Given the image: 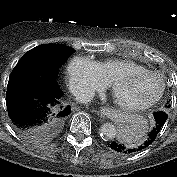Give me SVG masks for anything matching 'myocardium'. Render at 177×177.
I'll return each mask as SVG.
<instances>
[{"mask_svg":"<svg viewBox=\"0 0 177 177\" xmlns=\"http://www.w3.org/2000/svg\"><path fill=\"white\" fill-rule=\"evenodd\" d=\"M144 75L156 77L160 81V89H159V92L156 94V96H154L151 100L138 104V105L123 104L122 102L116 99L115 90L122 82H124L125 80L129 78H135V77L144 76ZM110 90H111V95H112L114 103L120 109L129 111V112H141V111H145L153 107L156 103L160 101V99L162 98L165 92V81H164L163 76L160 73L155 72V71H151L147 69L140 70V71H130V72H126V73L120 74L117 77H115L110 83Z\"/></svg>","mask_w":177,"mask_h":177,"instance_id":"myocardium-1","label":"myocardium"}]
</instances>
